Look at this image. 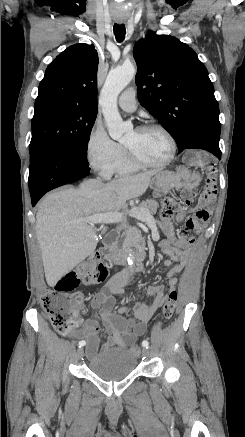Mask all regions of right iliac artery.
Returning <instances> with one entry per match:
<instances>
[{"mask_svg":"<svg viewBox=\"0 0 245 437\" xmlns=\"http://www.w3.org/2000/svg\"><path fill=\"white\" fill-rule=\"evenodd\" d=\"M85 344H86V342L84 340H82L78 343V346L83 347Z\"/></svg>","mask_w":245,"mask_h":437,"instance_id":"1","label":"right iliac artery"}]
</instances>
